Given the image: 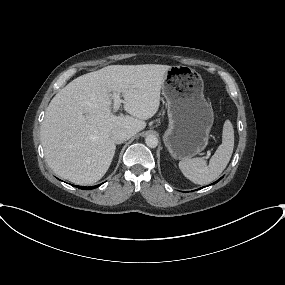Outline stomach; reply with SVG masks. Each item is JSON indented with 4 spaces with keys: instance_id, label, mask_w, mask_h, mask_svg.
Returning <instances> with one entry per match:
<instances>
[{
    "instance_id": "0dacf381",
    "label": "stomach",
    "mask_w": 285,
    "mask_h": 285,
    "mask_svg": "<svg viewBox=\"0 0 285 285\" xmlns=\"http://www.w3.org/2000/svg\"><path fill=\"white\" fill-rule=\"evenodd\" d=\"M203 87L201 75L186 66H171L164 75L169 125L163 141L174 159H190L208 145L214 113Z\"/></svg>"
}]
</instances>
